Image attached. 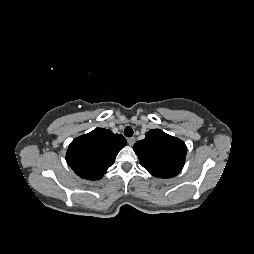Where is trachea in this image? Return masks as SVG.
<instances>
[{
    "label": "trachea",
    "mask_w": 254,
    "mask_h": 254,
    "mask_svg": "<svg viewBox=\"0 0 254 254\" xmlns=\"http://www.w3.org/2000/svg\"><path fill=\"white\" fill-rule=\"evenodd\" d=\"M124 135L126 137H131L133 135V129L131 127H126L124 130Z\"/></svg>",
    "instance_id": "trachea-1"
}]
</instances>
